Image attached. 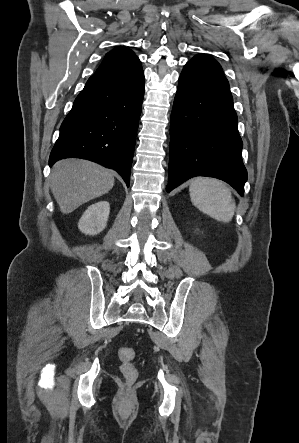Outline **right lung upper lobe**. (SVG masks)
<instances>
[{"label": "right lung upper lobe", "instance_id": "cb5924a9", "mask_svg": "<svg viewBox=\"0 0 299 443\" xmlns=\"http://www.w3.org/2000/svg\"><path fill=\"white\" fill-rule=\"evenodd\" d=\"M141 68V62L133 51L118 48L106 54L95 74H114L136 71Z\"/></svg>", "mask_w": 299, "mask_h": 443}]
</instances>
